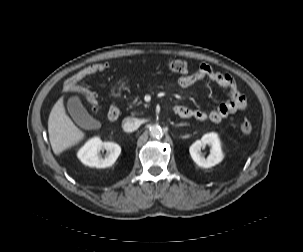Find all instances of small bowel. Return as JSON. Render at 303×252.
Returning <instances> with one entry per match:
<instances>
[{
  "instance_id": "1",
  "label": "small bowel",
  "mask_w": 303,
  "mask_h": 252,
  "mask_svg": "<svg viewBox=\"0 0 303 252\" xmlns=\"http://www.w3.org/2000/svg\"><path fill=\"white\" fill-rule=\"evenodd\" d=\"M206 79L224 88L229 94V100L209 112L201 109H191L185 105L177 106V114L182 117H193L198 121L210 120L219 123L227 117L233 118L238 111L244 108L245 96L240 92L233 78L215 71L206 64H201L192 74L181 76L177 83L181 88H189Z\"/></svg>"
}]
</instances>
